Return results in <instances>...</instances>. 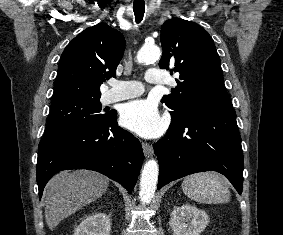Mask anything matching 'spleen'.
Masks as SVG:
<instances>
[{"instance_id":"obj_1","label":"spleen","mask_w":283,"mask_h":235,"mask_svg":"<svg viewBox=\"0 0 283 235\" xmlns=\"http://www.w3.org/2000/svg\"><path fill=\"white\" fill-rule=\"evenodd\" d=\"M181 186L188 198L199 203H227L231 196L225 179L215 172L189 175L184 178Z\"/></svg>"}]
</instances>
